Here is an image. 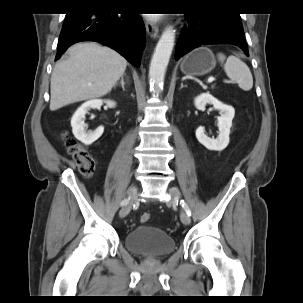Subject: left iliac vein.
Instances as JSON below:
<instances>
[{"label": "left iliac vein", "mask_w": 303, "mask_h": 303, "mask_svg": "<svg viewBox=\"0 0 303 303\" xmlns=\"http://www.w3.org/2000/svg\"><path fill=\"white\" fill-rule=\"evenodd\" d=\"M169 193H170L172 199L167 201V204H172V203L178 202V200L181 197L180 191L177 188L172 187L169 189ZM180 218H181V222L184 225H189L191 223L190 216L185 212L181 213Z\"/></svg>", "instance_id": "left-iliac-vein-1"}]
</instances>
